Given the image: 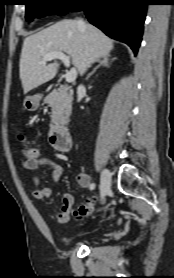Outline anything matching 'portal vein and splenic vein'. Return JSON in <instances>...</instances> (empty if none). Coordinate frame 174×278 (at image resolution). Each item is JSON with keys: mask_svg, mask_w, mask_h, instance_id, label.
I'll list each match as a JSON object with an SVG mask.
<instances>
[{"mask_svg": "<svg viewBox=\"0 0 174 278\" xmlns=\"http://www.w3.org/2000/svg\"><path fill=\"white\" fill-rule=\"evenodd\" d=\"M54 59L61 60L65 66H70V59L67 55H65L63 52H51L43 57L42 63L45 64L47 61H51ZM77 76V70L75 68H71L69 71H67L65 75V80L68 83H71L75 81Z\"/></svg>", "mask_w": 174, "mask_h": 278, "instance_id": "obj_1", "label": "portal vein and splenic vein"}]
</instances>
